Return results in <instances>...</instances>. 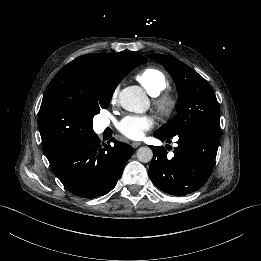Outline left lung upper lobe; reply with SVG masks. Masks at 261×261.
<instances>
[{
	"mask_svg": "<svg viewBox=\"0 0 261 261\" xmlns=\"http://www.w3.org/2000/svg\"><path fill=\"white\" fill-rule=\"evenodd\" d=\"M148 57L159 62L170 73L179 94L178 114L155 132L172 138L198 126L220 131V108L210 84L175 57L163 54Z\"/></svg>",
	"mask_w": 261,
	"mask_h": 261,
	"instance_id": "1",
	"label": "left lung upper lobe"
}]
</instances>
